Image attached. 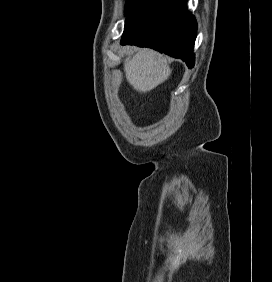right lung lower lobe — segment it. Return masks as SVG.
Instances as JSON below:
<instances>
[{"label":"right lung lower lobe","mask_w":272,"mask_h":282,"mask_svg":"<svg viewBox=\"0 0 272 282\" xmlns=\"http://www.w3.org/2000/svg\"><path fill=\"white\" fill-rule=\"evenodd\" d=\"M187 0H141L128 14L121 44L150 47L194 65L197 23Z\"/></svg>","instance_id":"98d812e1"}]
</instances>
